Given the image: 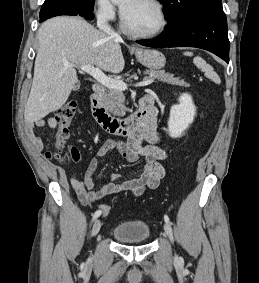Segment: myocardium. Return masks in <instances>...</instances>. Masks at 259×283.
Returning <instances> with one entry per match:
<instances>
[{"label":"myocardium","mask_w":259,"mask_h":283,"mask_svg":"<svg viewBox=\"0 0 259 283\" xmlns=\"http://www.w3.org/2000/svg\"><path fill=\"white\" fill-rule=\"evenodd\" d=\"M148 2L152 3L158 10L160 17H161V24L160 26L152 31V32H137L132 30L126 23V20L124 18L123 13L121 14V29L122 31L134 38H141V39H147V38H153V37H157L160 34H162L167 25H168V17H167V13L166 10L163 6V4L159 1V0H147Z\"/></svg>","instance_id":"1"}]
</instances>
